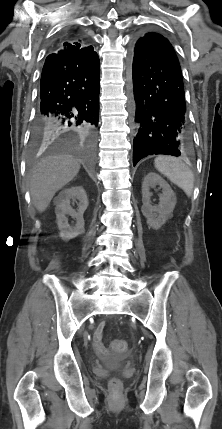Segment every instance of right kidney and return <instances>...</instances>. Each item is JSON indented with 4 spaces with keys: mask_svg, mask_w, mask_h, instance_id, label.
I'll return each mask as SVG.
<instances>
[{
    "mask_svg": "<svg viewBox=\"0 0 222 429\" xmlns=\"http://www.w3.org/2000/svg\"><path fill=\"white\" fill-rule=\"evenodd\" d=\"M70 200H78V209L74 210L70 205ZM56 218L60 237L64 240H70L77 237L84 230L83 214L88 207V198L82 186H72L62 190L56 198ZM66 215L76 219L75 226L68 224Z\"/></svg>",
    "mask_w": 222,
    "mask_h": 429,
    "instance_id": "right-kidney-1",
    "label": "right kidney"
}]
</instances>
